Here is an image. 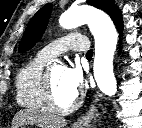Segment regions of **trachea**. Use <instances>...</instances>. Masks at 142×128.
<instances>
[{
	"instance_id": "trachea-1",
	"label": "trachea",
	"mask_w": 142,
	"mask_h": 128,
	"mask_svg": "<svg viewBox=\"0 0 142 128\" xmlns=\"http://www.w3.org/2000/svg\"><path fill=\"white\" fill-rule=\"evenodd\" d=\"M93 55V50H89L87 53H86V57H92Z\"/></svg>"
}]
</instances>
